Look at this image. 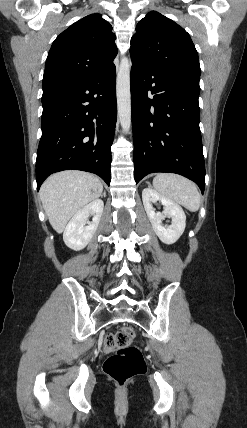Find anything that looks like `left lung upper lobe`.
<instances>
[{"label":"left lung upper lobe","instance_id":"5c2ea615","mask_svg":"<svg viewBox=\"0 0 247 428\" xmlns=\"http://www.w3.org/2000/svg\"><path fill=\"white\" fill-rule=\"evenodd\" d=\"M130 55L166 78L200 90L198 53L191 38L162 14L151 11L137 24Z\"/></svg>","mask_w":247,"mask_h":428}]
</instances>
